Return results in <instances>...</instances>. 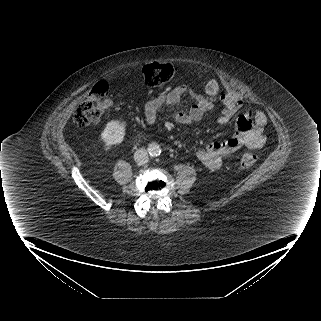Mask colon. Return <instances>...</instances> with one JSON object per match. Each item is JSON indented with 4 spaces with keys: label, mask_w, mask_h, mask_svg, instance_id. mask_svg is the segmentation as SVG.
<instances>
[{
    "label": "colon",
    "mask_w": 321,
    "mask_h": 321,
    "mask_svg": "<svg viewBox=\"0 0 321 321\" xmlns=\"http://www.w3.org/2000/svg\"><path fill=\"white\" fill-rule=\"evenodd\" d=\"M175 70L170 63H152L143 68V76L150 86H158L170 81ZM205 93L215 96L220 92V84L216 75H211L205 85ZM108 85L100 81L94 85L88 96L79 104L75 110L73 121L78 127H85L97 121L104 110ZM257 156L250 152H245L240 156L239 164L243 168L253 167L257 162Z\"/></svg>",
    "instance_id": "1"
}]
</instances>
